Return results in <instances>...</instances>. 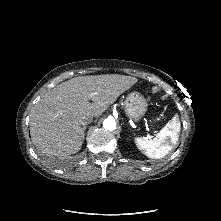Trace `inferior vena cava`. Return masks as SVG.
I'll list each match as a JSON object with an SVG mask.
<instances>
[{
  "instance_id": "inferior-vena-cava-1",
  "label": "inferior vena cava",
  "mask_w": 221,
  "mask_h": 221,
  "mask_svg": "<svg viewBox=\"0 0 221 221\" xmlns=\"http://www.w3.org/2000/svg\"><path fill=\"white\" fill-rule=\"evenodd\" d=\"M92 121H93V116L92 115H87V116H84L81 119V124L85 126L87 124H90Z\"/></svg>"
}]
</instances>
